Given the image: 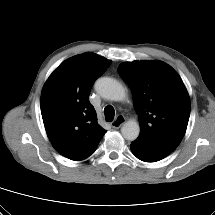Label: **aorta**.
<instances>
[{"instance_id":"1","label":"aorta","mask_w":215,"mask_h":215,"mask_svg":"<svg viewBox=\"0 0 215 215\" xmlns=\"http://www.w3.org/2000/svg\"><path fill=\"white\" fill-rule=\"evenodd\" d=\"M95 90L97 93L112 101H124L126 99V91L121 83L110 77H101L95 82ZM139 123L135 120H129L121 128V133L126 140L133 141L139 136Z\"/></svg>"}]
</instances>
